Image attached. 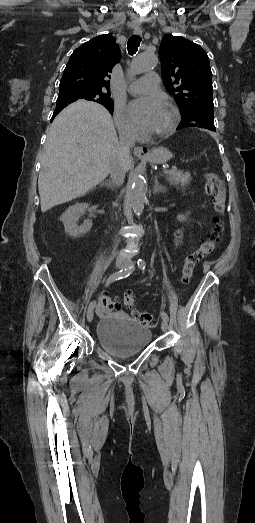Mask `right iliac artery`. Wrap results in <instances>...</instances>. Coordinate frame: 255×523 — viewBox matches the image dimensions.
Segmentation results:
<instances>
[{"label":"right iliac artery","instance_id":"right-iliac-artery-1","mask_svg":"<svg viewBox=\"0 0 255 523\" xmlns=\"http://www.w3.org/2000/svg\"><path fill=\"white\" fill-rule=\"evenodd\" d=\"M133 270H134V267H129V268L122 269L116 273H113L106 279V285H109L113 281H116V280L129 276ZM95 305H96V301H92L89 304V309H93L95 307Z\"/></svg>","mask_w":255,"mask_h":523}]
</instances>
